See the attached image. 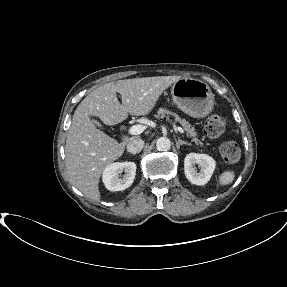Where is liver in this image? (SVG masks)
Here are the masks:
<instances>
[{
    "instance_id": "obj_1",
    "label": "liver",
    "mask_w": 287,
    "mask_h": 287,
    "mask_svg": "<svg viewBox=\"0 0 287 287\" xmlns=\"http://www.w3.org/2000/svg\"><path fill=\"white\" fill-rule=\"evenodd\" d=\"M180 76H157L118 80L92 91L74 112L65 146L69 182L93 201H100L99 180L104 169L120 158L128 138L119 143L97 129L90 116L106 125H116L128 114L144 116L155 107L159 97ZM119 93L122 104L117 99Z\"/></svg>"
}]
</instances>
